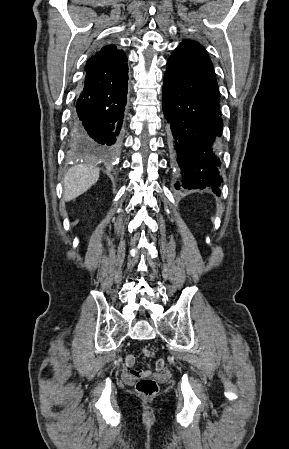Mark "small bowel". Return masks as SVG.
<instances>
[{
	"instance_id": "1",
	"label": "small bowel",
	"mask_w": 289,
	"mask_h": 449,
	"mask_svg": "<svg viewBox=\"0 0 289 449\" xmlns=\"http://www.w3.org/2000/svg\"><path fill=\"white\" fill-rule=\"evenodd\" d=\"M165 359L163 357H160L156 363V369L158 371H163L165 366ZM135 364V356L132 354H128L125 357V365L130 368L129 375L133 378H138L141 374L149 375L150 371H142V370H136L132 369V367Z\"/></svg>"
}]
</instances>
